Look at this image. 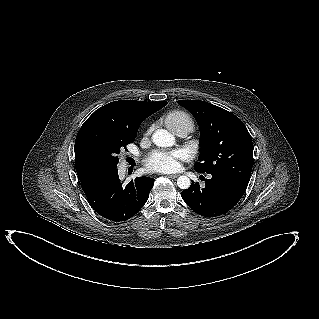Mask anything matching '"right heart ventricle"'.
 Instances as JSON below:
<instances>
[{"label":"right heart ventricle","mask_w":319,"mask_h":319,"mask_svg":"<svg viewBox=\"0 0 319 319\" xmlns=\"http://www.w3.org/2000/svg\"><path fill=\"white\" fill-rule=\"evenodd\" d=\"M165 124L173 132L178 129H185L187 132H190L194 127L192 118L181 110L169 112L165 117Z\"/></svg>","instance_id":"e07e8e85"}]
</instances>
